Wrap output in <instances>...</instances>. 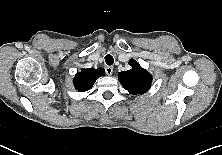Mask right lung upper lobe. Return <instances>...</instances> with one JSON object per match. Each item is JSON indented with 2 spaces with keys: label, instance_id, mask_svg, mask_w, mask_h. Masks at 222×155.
Listing matches in <instances>:
<instances>
[{
  "label": "right lung upper lobe",
  "instance_id": "1",
  "mask_svg": "<svg viewBox=\"0 0 222 155\" xmlns=\"http://www.w3.org/2000/svg\"><path fill=\"white\" fill-rule=\"evenodd\" d=\"M105 75V70L103 68H88L82 69L81 72L75 74L73 80L74 86L78 91L84 92L92 88L95 81Z\"/></svg>",
  "mask_w": 222,
  "mask_h": 155
}]
</instances>
